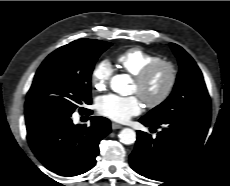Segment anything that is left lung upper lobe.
Here are the masks:
<instances>
[{
	"instance_id": "1",
	"label": "left lung upper lobe",
	"mask_w": 230,
	"mask_h": 186,
	"mask_svg": "<svg viewBox=\"0 0 230 186\" xmlns=\"http://www.w3.org/2000/svg\"><path fill=\"white\" fill-rule=\"evenodd\" d=\"M170 45L180 66L175 87L163 103L144 117L160 122L183 114L211 113L209 94L199 67L183 48L174 43Z\"/></svg>"
}]
</instances>
